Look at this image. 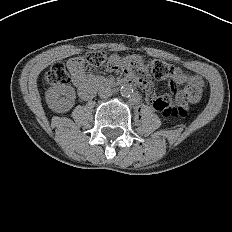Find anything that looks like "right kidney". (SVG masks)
Returning a JSON list of instances; mask_svg holds the SVG:
<instances>
[{
  "label": "right kidney",
  "mask_w": 232,
  "mask_h": 232,
  "mask_svg": "<svg viewBox=\"0 0 232 232\" xmlns=\"http://www.w3.org/2000/svg\"><path fill=\"white\" fill-rule=\"evenodd\" d=\"M76 93L72 86L59 84L48 88L45 99L48 107L56 113L68 112L75 104Z\"/></svg>",
  "instance_id": "1"
}]
</instances>
